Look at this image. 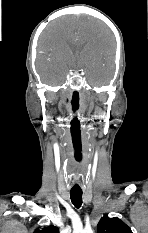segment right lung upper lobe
I'll use <instances>...</instances> for the list:
<instances>
[{
  "instance_id": "right-lung-upper-lobe-1",
  "label": "right lung upper lobe",
  "mask_w": 148,
  "mask_h": 233,
  "mask_svg": "<svg viewBox=\"0 0 148 233\" xmlns=\"http://www.w3.org/2000/svg\"><path fill=\"white\" fill-rule=\"evenodd\" d=\"M34 233H59V229L53 225L44 227L42 230H35Z\"/></svg>"
}]
</instances>
